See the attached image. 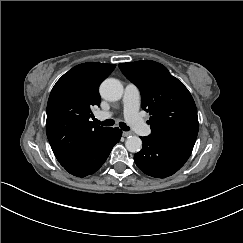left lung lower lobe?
Instances as JSON below:
<instances>
[{
	"label": "left lung lower lobe",
	"mask_w": 243,
	"mask_h": 243,
	"mask_svg": "<svg viewBox=\"0 0 243 243\" xmlns=\"http://www.w3.org/2000/svg\"><path fill=\"white\" fill-rule=\"evenodd\" d=\"M141 139L143 148L134 155V161L145 174L156 178L177 172L190 157L194 146L153 135Z\"/></svg>",
	"instance_id": "obj_1"
}]
</instances>
